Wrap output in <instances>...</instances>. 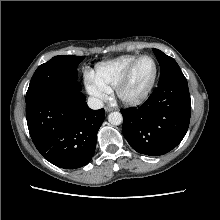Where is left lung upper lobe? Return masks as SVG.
<instances>
[{
	"label": "left lung upper lobe",
	"instance_id": "1",
	"mask_svg": "<svg viewBox=\"0 0 220 220\" xmlns=\"http://www.w3.org/2000/svg\"><path fill=\"white\" fill-rule=\"evenodd\" d=\"M153 52L157 57L161 70L158 83H161L172 77L183 75L180 67L172 57L165 55L162 51L158 49H153Z\"/></svg>",
	"mask_w": 220,
	"mask_h": 220
}]
</instances>
